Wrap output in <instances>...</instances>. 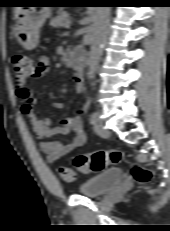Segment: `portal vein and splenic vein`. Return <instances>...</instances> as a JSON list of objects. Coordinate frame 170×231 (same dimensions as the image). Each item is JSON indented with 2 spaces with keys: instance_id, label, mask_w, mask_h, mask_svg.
Returning <instances> with one entry per match:
<instances>
[{
  "instance_id": "portal-vein-and-splenic-vein-1",
  "label": "portal vein and splenic vein",
  "mask_w": 170,
  "mask_h": 231,
  "mask_svg": "<svg viewBox=\"0 0 170 231\" xmlns=\"http://www.w3.org/2000/svg\"><path fill=\"white\" fill-rule=\"evenodd\" d=\"M70 27V21H67L66 23H65V28H69Z\"/></svg>"
}]
</instances>
